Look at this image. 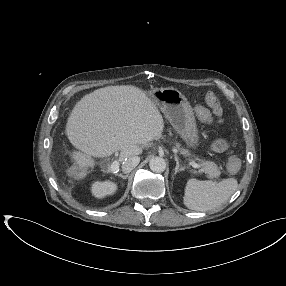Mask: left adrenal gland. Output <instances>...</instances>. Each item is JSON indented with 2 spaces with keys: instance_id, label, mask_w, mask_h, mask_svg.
<instances>
[{
  "instance_id": "obj_1",
  "label": "left adrenal gland",
  "mask_w": 286,
  "mask_h": 286,
  "mask_svg": "<svg viewBox=\"0 0 286 286\" xmlns=\"http://www.w3.org/2000/svg\"><path fill=\"white\" fill-rule=\"evenodd\" d=\"M175 161H176V167H175V172L174 174L176 175L179 171H183L184 170V167L180 166L179 164V160H178V157L175 156Z\"/></svg>"
}]
</instances>
